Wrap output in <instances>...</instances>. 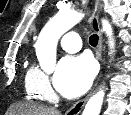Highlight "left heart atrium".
<instances>
[{
    "mask_svg": "<svg viewBox=\"0 0 131 115\" xmlns=\"http://www.w3.org/2000/svg\"><path fill=\"white\" fill-rule=\"evenodd\" d=\"M95 76L93 62L86 56H66L58 65L54 85L62 95L74 98L83 94Z\"/></svg>",
    "mask_w": 131,
    "mask_h": 115,
    "instance_id": "left-heart-atrium-1",
    "label": "left heart atrium"
}]
</instances>
